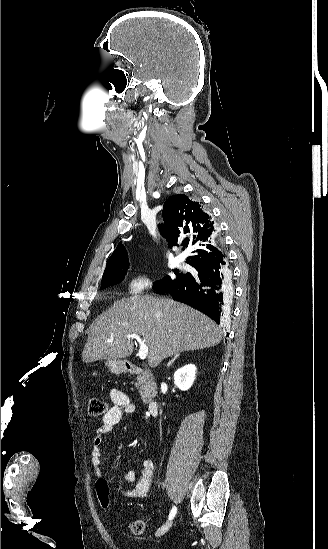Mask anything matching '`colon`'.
Instances as JSON below:
<instances>
[{
	"label": "colon",
	"instance_id": "obj_1",
	"mask_svg": "<svg viewBox=\"0 0 328 549\" xmlns=\"http://www.w3.org/2000/svg\"><path fill=\"white\" fill-rule=\"evenodd\" d=\"M106 411L104 401L96 396H91L88 399V412L91 416L103 415ZM96 491L100 507L108 509L110 507V491L107 482L104 479H99L96 482ZM130 530L135 535H141L145 530V522L143 520H135L130 525Z\"/></svg>",
	"mask_w": 328,
	"mask_h": 549
}]
</instances>
